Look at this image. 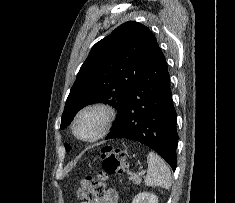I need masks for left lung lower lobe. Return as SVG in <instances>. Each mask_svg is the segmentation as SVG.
Here are the masks:
<instances>
[{"mask_svg":"<svg viewBox=\"0 0 235 203\" xmlns=\"http://www.w3.org/2000/svg\"><path fill=\"white\" fill-rule=\"evenodd\" d=\"M127 138L155 150L176 169V111L167 63L160 48L105 139Z\"/></svg>","mask_w":235,"mask_h":203,"instance_id":"1","label":"left lung lower lobe"}]
</instances>
